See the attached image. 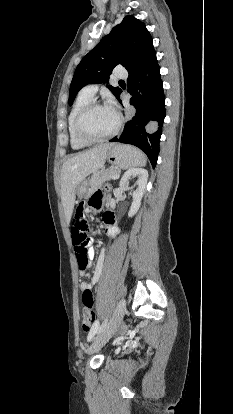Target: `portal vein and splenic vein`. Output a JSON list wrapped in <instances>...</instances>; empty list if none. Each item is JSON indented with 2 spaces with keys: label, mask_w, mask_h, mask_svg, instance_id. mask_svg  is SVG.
Segmentation results:
<instances>
[{
  "label": "portal vein and splenic vein",
  "mask_w": 233,
  "mask_h": 414,
  "mask_svg": "<svg viewBox=\"0 0 233 414\" xmlns=\"http://www.w3.org/2000/svg\"><path fill=\"white\" fill-rule=\"evenodd\" d=\"M119 178V175H116L115 177H114V179H118Z\"/></svg>",
  "instance_id": "18ae733b"
}]
</instances>
